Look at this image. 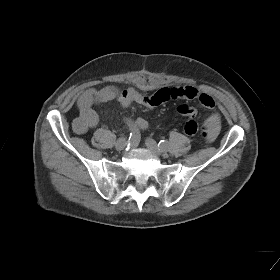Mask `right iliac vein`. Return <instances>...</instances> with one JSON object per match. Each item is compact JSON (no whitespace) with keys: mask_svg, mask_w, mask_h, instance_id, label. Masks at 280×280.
I'll return each mask as SVG.
<instances>
[{"mask_svg":"<svg viewBox=\"0 0 280 280\" xmlns=\"http://www.w3.org/2000/svg\"><path fill=\"white\" fill-rule=\"evenodd\" d=\"M126 139L125 138H119L118 140H117V142H116V144H115V148H116V150L117 151H121V150H123L124 148H125V146H126Z\"/></svg>","mask_w":280,"mask_h":280,"instance_id":"obj_1","label":"right iliac vein"}]
</instances>
